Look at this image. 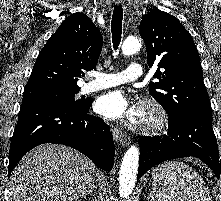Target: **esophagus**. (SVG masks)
Listing matches in <instances>:
<instances>
[{"label":"esophagus","mask_w":221,"mask_h":201,"mask_svg":"<svg viewBox=\"0 0 221 201\" xmlns=\"http://www.w3.org/2000/svg\"><path fill=\"white\" fill-rule=\"evenodd\" d=\"M117 4H121L123 0H115ZM113 137L117 143H120L122 146H128L130 143V137L117 128H113Z\"/></svg>","instance_id":"obj_1"}]
</instances>
